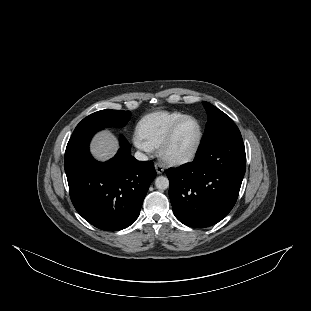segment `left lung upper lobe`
Listing matches in <instances>:
<instances>
[{"label": "left lung upper lobe", "instance_id": "1", "mask_svg": "<svg viewBox=\"0 0 311 311\" xmlns=\"http://www.w3.org/2000/svg\"><path fill=\"white\" fill-rule=\"evenodd\" d=\"M207 114L208 123L199 149L229 135H241L236 124L221 110L208 102H202Z\"/></svg>", "mask_w": 311, "mask_h": 311}]
</instances>
